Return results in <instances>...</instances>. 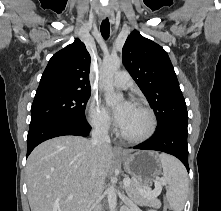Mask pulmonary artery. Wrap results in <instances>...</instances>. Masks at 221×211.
Wrapping results in <instances>:
<instances>
[{"instance_id":"e3ab8cb5","label":"pulmonary artery","mask_w":221,"mask_h":211,"mask_svg":"<svg viewBox=\"0 0 221 211\" xmlns=\"http://www.w3.org/2000/svg\"><path fill=\"white\" fill-rule=\"evenodd\" d=\"M113 84L118 88L126 89L132 86L133 82L127 71H119L113 78Z\"/></svg>"}]
</instances>
